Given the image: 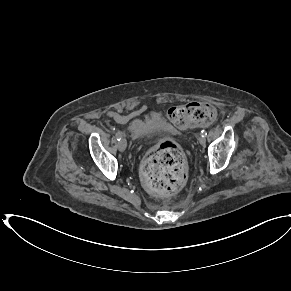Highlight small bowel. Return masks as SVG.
Segmentation results:
<instances>
[{
  "instance_id": "obj_1",
  "label": "small bowel",
  "mask_w": 291,
  "mask_h": 291,
  "mask_svg": "<svg viewBox=\"0 0 291 291\" xmlns=\"http://www.w3.org/2000/svg\"><path fill=\"white\" fill-rule=\"evenodd\" d=\"M107 117L116 121V122H123L125 121L126 117L118 112L109 111L107 114Z\"/></svg>"
}]
</instances>
